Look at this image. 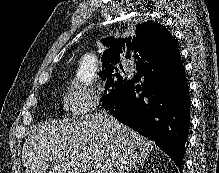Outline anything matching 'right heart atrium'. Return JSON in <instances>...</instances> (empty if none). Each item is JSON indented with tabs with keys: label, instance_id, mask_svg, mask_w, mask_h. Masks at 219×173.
Instances as JSON below:
<instances>
[{
	"label": "right heart atrium",
	"instance_id": "obj_1",
	"mask_svg": "<svg viewBox=\"0 0 219 173\" xmlns=\"http://www.w3.org/2000/svg\"><path fill=\"white\" fill-rule=\"evenodd\" d=\"M103 92L87 87L78 81L69 84L66 90V103L70 110L78 116H87L102 103Z\"/></svg>",
	"mask_w": 219,
	"mask_h": 173
}]
</instances>
